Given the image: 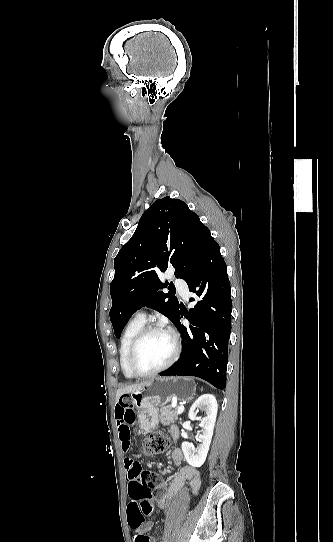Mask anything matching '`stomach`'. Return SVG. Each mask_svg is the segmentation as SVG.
Masks as SVG:
<instances>
[{"label":"stomach","instance_id":"obj_1","mask_svg":"<svg viewBox=\"0 0 333 542\" xmlns=\"http://www.w3.org/2000/svg\"><path fill=\"white\" fill-rule=\"evenodd\" d=\"M196 386L191 378H152L142 390L120 396L119 400H131L139 424L138 436L146 437L149 430L159 424L158 406H165L172 398L188 402L194 398Z\"/></svg>","mask_w":333,"mask_h":542}]
</instances>
